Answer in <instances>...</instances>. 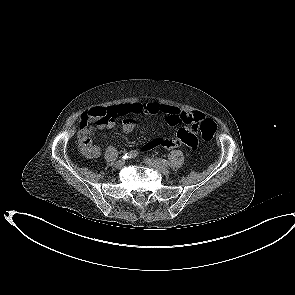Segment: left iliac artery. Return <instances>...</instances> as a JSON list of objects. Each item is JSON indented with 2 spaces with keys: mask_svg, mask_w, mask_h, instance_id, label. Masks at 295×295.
I'll list each match as a JSON object with an SVG mask.
<instances>
[{
  "mask_svg": "<svg viewBox=\"0 0 295 295\" xmlns=\"http://www.w3.org/2000/svg\"><path fill=\"white\" fill-rule=\"evenodd\" d=\"M157 161L160 163V164H162V165H164V166H168L169 165V162L167 161V160H165V159H157Z\"/></svg>",
  "mask_w": 295,
  "mask_h": 295,
  "instance_id": "44dca946",
  "label": "left iliac artery"
}]
</instances>
